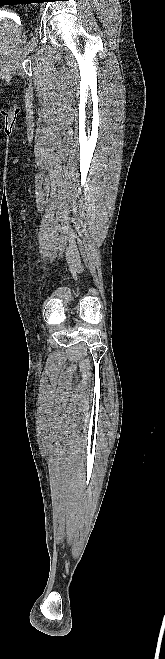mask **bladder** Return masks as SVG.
Instances as JSON below:
<instances>
[{
  "mask_svg": "<svg viewBox=\"0 0 165 659\" xmlns=\"http://www.w3.org/2000/svg\"><path fill=\"white\" fill-rule=\"evenodd\" d=\"M15 29L19 30V29H21V27L16 26ZM8 31H9V28L5 24H0V34L1 33L3 34V33L8 32Z\"/></svg>",
  "mask_w": 165,
  "mask_h": 659,
  "instance_id": "obj_1",
  "label": "bladder"
}]
</instances>
